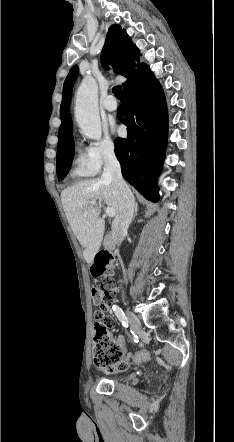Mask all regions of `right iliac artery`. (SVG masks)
Wrapping results in <instances>:
<instances>
[{"instance_id":"obj_1","label":"right iliac artery","mask_w":234,"mask_h":442,"mask_svg":"<svg viewBox=\"0 0 234 442\" xmlns=\"http://www.w3.org/2000/svg\"><path fill=\"white\" fill-rule=\"evenodd\" d=\"M112 309L115 312L116 316L121 321L122 325L124 327H128L129 326V322H128V319L125 316L124 312L122 311V309L120 307H118L117 305H113Z\"/></svg>"}]
</instances>
